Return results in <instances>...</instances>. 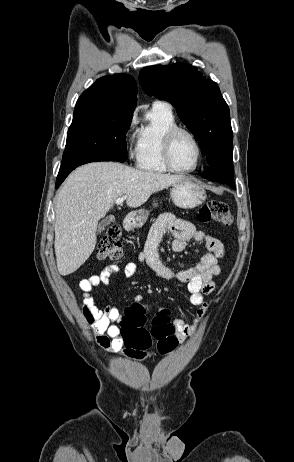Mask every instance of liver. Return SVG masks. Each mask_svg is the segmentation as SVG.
Returning a JSON list of instances; mask_svg holds the SVG:
<instances>
[{
  "mask_svg": "<svg viewBox=\"0 0 294 462\" xmlns=\"http://www.w3.org/2000/svg\"><path fill=\"white\" fill-rule=\"evenodd\" d=\"M185 178L115 162H93L77 168L56 195L54 248L59 273L69 275L89 258L96 245L98 221L117 198L127 196V206L137 208L153 193Z\"/></svg>",
  "mask_w": 294,
  "mask_h": 462,
  "instance_id": "liver-1",
  "label": "liver"
}]
</instances>
